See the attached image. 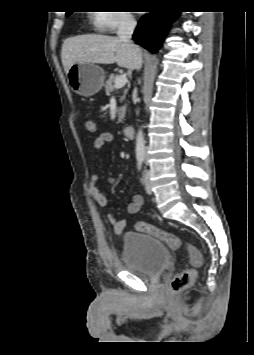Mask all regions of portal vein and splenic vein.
Returning a JSON list of instances; mask_svg holds the SVG:
<instances>
[{"mask_svg":"<svg viewBox=\"0 0 254 355\" xmlns=\"http://www.w3.org/2000/svg\"><path fill=\"white\" fill-rule=\"evenodd\" d=\"M127 83V77L126 75H119L116 80H115V88L116 89H119V88H122L125 84Z\"/></svg>","mask_w":254,"mask_h":355,"instance_id":"18ae733b","label":"portal vein and splenic vein"}]
</instances>
